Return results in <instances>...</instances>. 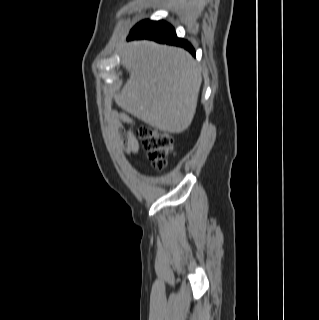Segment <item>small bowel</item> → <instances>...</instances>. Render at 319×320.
I'll use <instances>...</instances> for the list:
<instances>
[{
	"mask_svg": "<svg viewBox=\"0 0 319 320\" xmlns=\"http://www.w3.org/2000/svg\"><path fill=\"white\" fill-rule=\"evenodd\" d=\"M124 123L128 125L127 129L120 127V125ZM112 124L117 128V132L124 142L125 153L132 159H136L140 152V146L138 139L133 132L132 120L128 115L121 113L112 119Z\"/></svg>",
	"mask_w": 319,
	"mask_h": 320,
	"instance_id": "obj_1",
	"label": "small bowel"
}]
</instances>
